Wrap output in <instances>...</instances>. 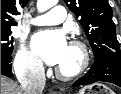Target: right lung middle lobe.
Wrapping results in <instances>:
<instances>
[{
	"label": "right lung middle lobe",
	"instance_id": "right-lung-middle-lobe-1",
	"mask_svg": "<svg viewBox=\"0 0 121 94\" xmlns=\"http://www.w3.org/2000/svg\"><path fill=\"white\" fill-rule=\"evenodd\" d=\"M12 31L8 30H1V56H11L13 51V37H11Z\"/></svg>",
	"mask_w": 121,
	"mask_h": 94
}]
</instances>
